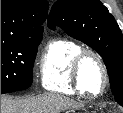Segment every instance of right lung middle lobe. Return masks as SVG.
<instances>
[{"mask_svg":"<svg viewBox=\"0 0 123 113\" xmlns=\"http://www.w3.org/2000/svg\"><path fill=\"white\" fill-rule=\"evenodd\" d=\"M41 36L1 41V94L27 89Z\"/></svg>","mask_w":123,"mask_h":113,"instance_id":"dd1d6c3e","label":"right lung middle lobe"}]
</instances>
